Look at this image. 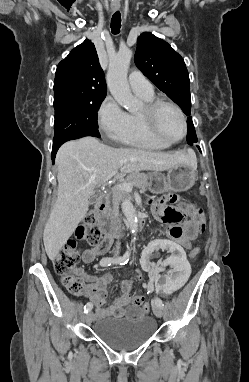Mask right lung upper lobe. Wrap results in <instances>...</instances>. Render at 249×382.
Returning a JSON list of instances; mask_svg holds the SVG:
<instances>
[{
  "mask_svg": "<svg viewBox=\"0 0 249 382\" xmlns=\"http://www.w3.org/2000/svg\"><path fill=\"white\" fill-rule=\"evenodd\" d=\"M107 87L94 44L86 39L62 60L54 81V107L105 97Z\"/></svg>",
  "mask_w": 249,
  "mask_h": 382,
  "instance_id": "cb5924a9",
  "label": "right lung upper lobe"
}]
</instances>
